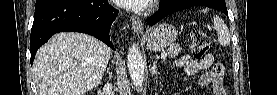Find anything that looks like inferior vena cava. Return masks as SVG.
Masks as SVG:
<instances>
[{"instance_id":"602c4592","label":"inferior vena cava","mask_w":277,"mask_h":95,"mask_svg":"<svg viewBox=\"0 0 277 95\" xmlns=\"http://www.w3.org/2000/svg\"><path fill=\"white\" fill-rule=\"evenodd\" d=\"M105 90H106L107 92H109V95H111V92H112V85H111L110 83H107V84L105 85Z\"/></svg>"}]
</instances>
